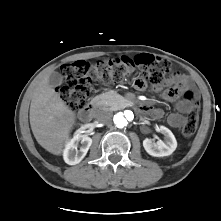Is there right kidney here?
I'll list each match as a JSON object with an SVG mask.
<instances>
[{"label":"right kidney","mask_w":221,"mask_h":221,"mask_svg":"<svg viewBox=\"0 0 221 221\" xmlns=\"http://www.w3.org/2000/svg\"><path fill=\"white\" fill-rule=\"evenodd\" d=\"M79 143H81L80 150L77 149ZM92 139L85 134H76L70 139L64 149L63 158L69 165H76L82 161L87 154Z\"/></svg>","instance_id":"right-kidney-1"}]
</instances>
